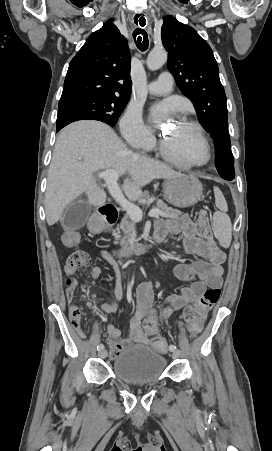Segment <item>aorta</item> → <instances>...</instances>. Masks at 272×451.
Listing matches in <instances>:
<instances>
[{
	"instance_id": "1",
	"label": "aorta",
	"mask_w": 272,
	"mask_h": 451,
	"mask_svg": "<svg viewBox=\"0 0 272 451\" xmlns=\"http://www.w3.org/2000/svg\"><path fill=\"white\" fill-rule=\"evenodd\" d=\"M166 62L167 52L165 50H160V52L158 50H152L146 60L149 70H159Z\"/></svg>"
}]
</instances>
